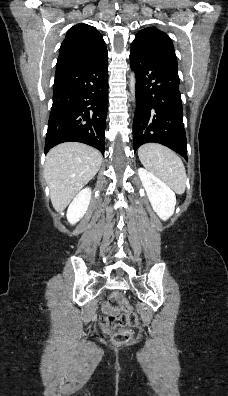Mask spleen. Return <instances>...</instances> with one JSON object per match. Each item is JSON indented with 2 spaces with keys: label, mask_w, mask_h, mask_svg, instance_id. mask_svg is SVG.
Instances as JSON below:
<instances>
[{
  "label": "spleen",
  "mask_w": 228,
  "mask_h": 396,
  "mask_svg": "<svg viewBox=\"0 0 228 396\" xmlns=\"http://www.w3.org/2000/svg\"><path fill=\"white\" fill-rule=\"evenodd\" d=\"M143 166L169 185L177 194L186 189V170L180 157L171 149L157 143H147L138 150Z\"/></svg>",
  "instance_id": "3e777b00"
}]
</instances>
